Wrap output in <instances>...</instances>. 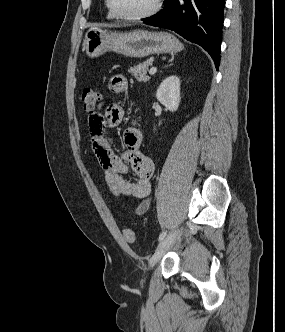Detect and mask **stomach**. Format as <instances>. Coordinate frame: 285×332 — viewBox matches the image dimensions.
Returning <instances> with one entry per match:
<instances>
[{"mask_svg": "<svg viewBox=\"0 0 285 332\" xmlns=\"http://www.w3.org/2000/svg\"><path fill=\"white\" fill-rule=\"evenodd\" d=\"M182 50V44L168 32L132 31L108 33L99 28H89L83 40V51L96 58L108 51L143 58L153 54L173 53Z\"/></svg>", "mask_w": 285, "mask_h": 332, "instance_id": "stomach-1", "label": "stomach"}]
</instances>
